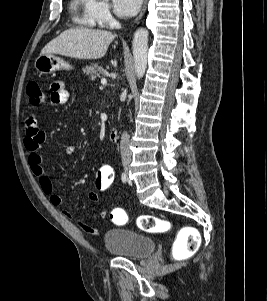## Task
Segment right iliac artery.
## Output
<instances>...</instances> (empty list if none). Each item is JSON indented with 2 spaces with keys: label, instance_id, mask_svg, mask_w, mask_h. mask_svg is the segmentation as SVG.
<instances>
[{
  "label": "right iliac artery",
  "instance_id": "1",
  "mask_svg": "<svg viewBox=\"0 0 267 301\" xmlns=\"http://www.w3.org/2000/svg\"><path fill=\"white\" fill-rule=\"evenodd\" d=\"M121 180L123 183H125L127 181V175L125 173H122Z\"/></svg>",
  "mask_w": 267,
  "mask_h": 301
}]
</instances>
